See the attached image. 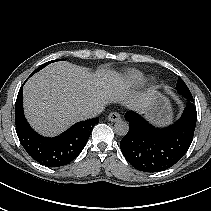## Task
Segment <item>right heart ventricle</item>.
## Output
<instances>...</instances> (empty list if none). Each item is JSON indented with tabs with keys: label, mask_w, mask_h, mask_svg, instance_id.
I'll use <instances>...</instances> for the list:
<instances>
[{
	"label": "right heart ventricle",
	"mask_w": 211,
	"mask_h": 211,
	"mask_svg": "<svg viewBox=\"0 0 211 211\" xmlns=\"http://www.w3.org/2000/svg\"><path fill=\"white\" fill-rule=\"evenodd\" d=\"M144 75L138 70H129L124 75V82L129 87H135L142 83Z\"/></svg>",
	"instance_id": "e07e8e85"
}]
</instances>
